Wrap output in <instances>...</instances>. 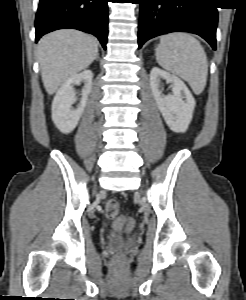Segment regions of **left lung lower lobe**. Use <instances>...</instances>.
Masks as SVG:
<instances>
[{"label":"left lung lower lobe","mask_w":246,"mask_h":300,"mask_svg":"<svg viewBox=\"0 0 246 300\" xmlns=\"http://www.w3.org/2000/svg\"><path fill=\"white\" fill-rule=\"evenodd\" d=\"M140 4L139 47L169 32H191L215 50L218 13L213 0H137Z\"/></svg>","instance_id":"0a47b994"}]
</instances>
